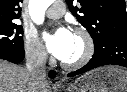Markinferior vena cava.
I'll return each instance as SVG.
<instances>
[{
	"label": "inferior vena cava",
	"mask_w": 127,
	"mask_h": 92,
	"mask_svg": "<svg viewBox=\"0 0 127 92\" xmlns=\"http://www.w3.org/2000/svg\"><path fill=\"white\" fill-rule=\"evenodd\" d=\"M47 53L41 48L30 50L26 57V70L31 73L39 83H47L46 80Z\"/></svg>",
	"instance_id": "inferior-vena-cava-1"
}]
</instances>
